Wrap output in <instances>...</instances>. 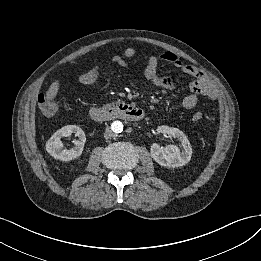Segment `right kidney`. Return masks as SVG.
<instances>
[{
	"label": "right kidney",
	"mask_w": 261,
	"mask_h": 261,
	"mask_svg": "<svg viewBox=\"0 0 261 261\" xmlns=\"http://www.w3.org/2000/svg\"><path fill=\"white\" fill-rule=\"evenodd\" d=\"M71 134H75V136L78 137V139L74 141L75 146L70 149H63L61 138L71 136ZM85 142V133L79 126L67 125L57 130L50 137L46 143V151L55 159L70 161L78 158L82 154Z\"/></svg>",
	"instance_id": "right-kidney-1"
}]
</instances>
